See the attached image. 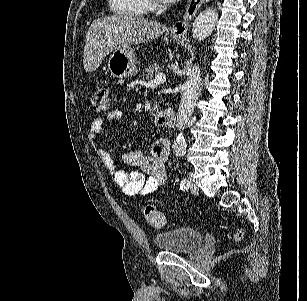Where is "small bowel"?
<instances>
[{
  "instance_id": "obj_1",
  "label": "small bowel",
  "mask_w": 307,
  "mask_h": 301,
  "mask_svg": "<svg viewBox=\"0 0 307 301\" xmlns=\"http://www.w3.org/2000/svg\"><path fill=\"white\" fill-rule=\"evenodd\" d=\"M122 115L120 109H113L107 115V119L118 120ZM103 127L104 121L101 118L94 119L90 126V138L92 140L98 139ZM97 153L115 184L125 195L146 196L161 188L165 183V163L169 156V142L166 139L155 142L150 156L140 151H131L124 155L125 162L130 166L137 167L140 172L120 170L117 163L104 149H99Z\"/></svg>"
}]
</instances>
